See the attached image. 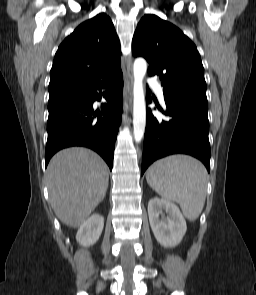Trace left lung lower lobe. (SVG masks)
<instances>
[{
    "label": "left lung lower lobe",
    "mask_w": 256,
    "mask_h": 295,
    "mask_svg": "<svg viewBox=\"0 0 256 295\" xmlns=\"http://www.w3.org/2000/svg\"><path fill=\"white\" fill-rule=\"evenodd\" d=\"M146 102L151 103L150 92ZM166 102L170 119L158 120L147 110L141 174L155 160L171 154H189L201 160L210 171V144L208 139V108L182 101Z\"/></svg>",
    "instance_id": "1"
}]
</instances>
